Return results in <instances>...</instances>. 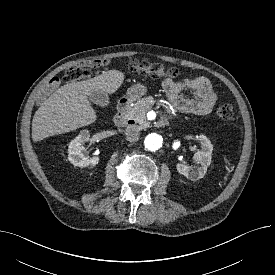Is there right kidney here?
<instances>
[{
    "label": "right kidney",
    "instance_id": "obj_1",
    "mask_svg": "<svg viewBox=\"0 0 275 275\" xmlns=\"http://www.w3.org/2000/svg\"><path fill=\"white\" fill-rule=\"evenodd\" d=\"M90 134L88 130H83L70 142L68 149V160L75 166L94 167L99 163V157L89 158L84 155V143L89 141Z\"/></svg>",
    "mask_w": 275,
    "mask_h": 275
}]
</instances>
